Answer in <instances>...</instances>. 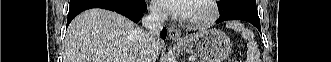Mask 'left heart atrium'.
Returning <instances> with one entry per match:
<instances>
[{"label": "left heart atrium", "instance_id": "1", "mask_svg": "<svg viewBox=\"0 0 331 62\" xmlns=\"http://www.w3.org/2000/svg\"><path fill=\"white\" fill-rule=\"evenodd\" d=\"M157 3L167 12L188 17L191 13L192 0H157Z\"/></svg>", "mask_w": 331, "mask_h": 62}]
</instances>
